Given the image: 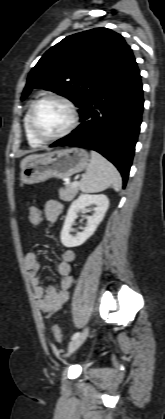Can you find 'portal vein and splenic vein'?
I'll use <instances>...</instances> for the list:
<instances>
[{"label":"portal vein and splenic vein","instance_id":"portal-vein-and-splenic-vein-1","mask_svg":"<svg viewBox=\"0 0 165 419\" xmlns=\"http://www.w3.org/2000/svg\"><path fill=\"white\" fill-rule=\"evenodd\" d=\"M72 184L73 186H78L79 183L77 181H74Z\"/></svg>","mask_w":165,"mask_h":419}]
</instances>
